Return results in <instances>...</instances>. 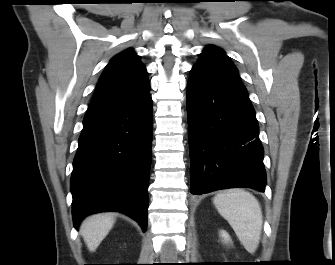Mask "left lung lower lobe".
Listing matches in <instances>:
<instances>
[{
    "instance_id": "left-lung-lower-lobe-1",
    "label": "left lung lower lobe",
    "mask_w": 335,
    "mask_h": 265,
    "mask_svg": "<svg viewBox=\"0 0 335 265\" xmlns=\"http://www.w3.org/2000/svg\"><path fill=\"white\" fill-rule=\"evenodd\" d=\"M187 88L191 193L264 192V150L245 86L193 67Z\"/></svg>"
}]
</instances>
